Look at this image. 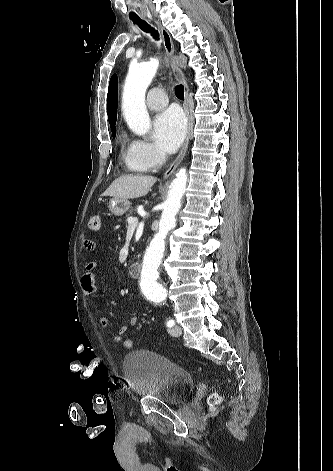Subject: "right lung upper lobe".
<instances>
[{
  "instance_id": "right-lung-upper-lobe-1",
  "label": "right lung upper lobe",
  "mask_w": 333,
  "mask_h": 471,
  "mask_svg": "<svg viewBox=\"0 0 333 471\" xmlns=\"http://www.w3.org/2000/svg\"><path fill=\"white\" fill-rule=\"evenodd\" d=\"M117 100H118V85L117 76L114 74L109 83L108 95H107V107H108V120L112 132L116 130L115 124L117 119Z\"/></svg>"
}]
</instances>
